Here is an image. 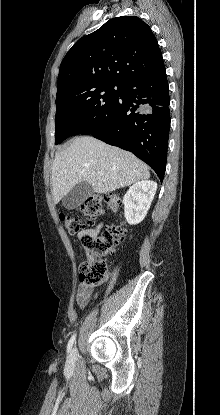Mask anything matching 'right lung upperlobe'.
Here are the masks:
<instances>
[{
	"label": "right lung upper lobe",
	"mask_w": 220,
	"mask_h": 415,
	"mask_svg": "<svg viewBox=\"0 0 220 415\" xmlns=\"http://www.w3.org/2000/svg\"><path fill=\"white\" fill-rule=\"evenodd\" d=\"M163 65L149 25L136 16L113 18L68 51L61 62L57 94L83 83H124Z\"/></svg>",
	"instance_id": "right-lung-upper-lobe-1"
}]
</instances>
